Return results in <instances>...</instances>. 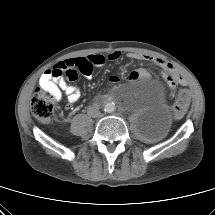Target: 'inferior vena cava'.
Instances as JSON below:
<instances>
[{"instance_id":"1","label":"inferior vena cava","mask_w":215,"mask_h":215,"mask_svg":"<svg viewBox=\"0 0 215 215\" xmlns=\"http://www.w3.org/2000/svg\"><path fill=\"white\" fill-rule=\"evenodd\" d=\"M87 114L90 116V117H93V118H96V117H99L101 115V112L99 111V109L95 106H90L88 109H87Z\"/></svg>"}]
</instances>
